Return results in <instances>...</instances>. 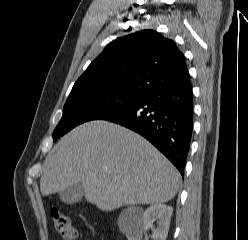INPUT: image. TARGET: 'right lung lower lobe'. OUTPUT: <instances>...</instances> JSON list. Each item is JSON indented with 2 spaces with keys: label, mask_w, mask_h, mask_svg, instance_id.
I'll list each match as a JSON object with an SVG mask.
<instances>
[{
  "label": "right lung lower lobe",
  "mask_w": 248,
  "mask_h": 240,
  "mask_svg": "<svg viewBox=\"0 0 248 240\" xmlns=\"http://www.w3.org/2000/svg\"><path fill=\"white\" fill-rule=\"evenodd\" d=\"M104 120L145 137L183 176L193 129V92L189 76L143 96Z\"/></svg>",
  "instance_id": "1"
}]
</instances>
